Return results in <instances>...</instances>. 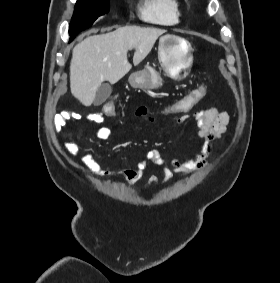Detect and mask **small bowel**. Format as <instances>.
<instances>
[{"label":"small bowel","mask_w":280,"mask_h":283,"mask_svg":"<svg viewBox=\"0 0 280 283\" xmlns=\"http://www.w3.org/2000/svg\"><path fill=\"white\" fill-rule=\"evenodd\" d=\"M193 90V89H192ZM109 103V102H108ZM188 112H180L179 116H167L166 112L159 111V114L165 117H173L178 122H184L187 117L184 115ZM69 118H79L78 114H68ZM137 118L147 119L149 122L155 121V116L146 107H140L136 110ZM113 117V116H111ZM88 120L97 122L102 120V114L98 112H90L85 115ZM194 119L198 127V136L202 139V145L198 153L188 160L170 159L166 160L158 149H151L145 153L144 158L137 164L135 168L124 169L119 171H108L101 168L90 151H84L81 155L82 161L88 171L101 177H115L123 180L128 184H134L139 181L149 165L161 167L163 181H170L175 173L188 174L203 168L211 158V149L213 142L219 140L227 131L229 124V115L220 111L215 107H210L206 110L197 111L194 113ZM58 127L63 125L57 122ZM112 136V129L108 126H101L96 129V137L99 140L106 141ZM67 151L72 156H77L80 153L79 145L75 140H72L67 145ZM159 181L158 177L152 175L148 181V186Z\"/></svg>","instance_id":"obj_1"}]
</instances>
